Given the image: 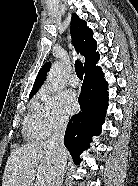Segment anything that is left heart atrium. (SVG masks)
Instances as JSON below:
<instances>
[{
	"label": "left heart atrium",
	"instance_id": "left-heart-atrium-1",
	"mask_svg": "<svg viewBox=\"0 0 138 186\" xmlns=\"http://www.w3.org/2000/svg\"><path fill=\"white\" fill-rule=\"evenodd\" d=\"M77 100L73 92H66L63 96V110L67 115L73 114L77 110Z\"/></svg>",
	"mask_w": 138,
	"mask_h": 186
}]
</instances>
